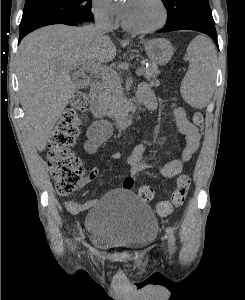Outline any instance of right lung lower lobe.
<instances>
[{"label": "right lung lower lobe", "mask_w": 245, "mask_h": 300, "mask_svg": "<svg viewBox=\"0 0 245 300\" xmlns=\"http://www.w3.org/2000/svg\"><path fill=\"white\" fill-rule=\"evenodd\" d=\"M82 23H86L85 21H80V22H72V23H62V24H66V25H78V24H82ZM27 34H20V39L19 41Z\"/></svg>", "instance_id": "right-lung-lower-lobe-1"}]
</instances>
